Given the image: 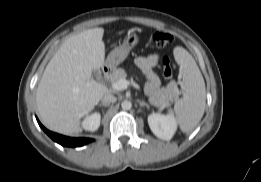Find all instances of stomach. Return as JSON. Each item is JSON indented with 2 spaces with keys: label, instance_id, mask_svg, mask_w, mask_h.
Instances as JSON below:
<instances>
[{
  "label": "stomach",
  "instance_id": "stomach-1",
  "mask_svg": "<svg viewBox=\"0 0 261 182\" xmlns=\"http://www.w3.org/2000/svg\"><path fill=\"white\" fill-rule=\"evenodd\" d=\"M139 41L135 33L129 34L123 41L122 45L112 50L107 56L105 65L110 69H115L128 56L131 49H133Z\"/></svg>",
  "mask_w": 261,
  "mask_h": 182
}]
</instances>
